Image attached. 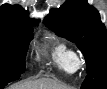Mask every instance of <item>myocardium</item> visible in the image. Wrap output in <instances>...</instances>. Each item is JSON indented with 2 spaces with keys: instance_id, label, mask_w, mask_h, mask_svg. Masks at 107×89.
I'll use <instances>...</instances> for the list:
<instances>
[{
  "instance_id": "1",
  "label": "myocardium",
  "mask_w": 107,
  "mask_h": 89,
  "mask_svg": "<svg viewBox=\"0 0 107 89\" xmlns=\"http://www.w3.org/2000/svg\"><path fill=\"white\" fill-rule=\"evenodd\" d=\"M84 64V61L81 57L77 56L76 57V60H75V66H76V69L82 67Z\"/></svg>"
}]
</instances>
